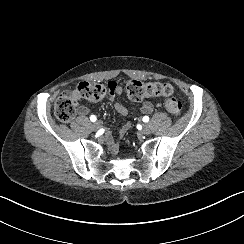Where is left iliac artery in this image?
Wrapping results in <instances>:
<instances>
[{
    "mask_svg": "<svg viewBox=\"0 0 244 244\" xmlns=\"http://www.w3.org/2000/svg\"><path fill=\"white\" fill-rule=\"evenodd\" d=\"M143 121H144V122H148V121H149V117H148V116H144V117H143Z\"/></svg>",
    "mask_w": 244,
    "mask_h": 244,
    "instance_id": "1",
    "label": "left iliac artery"
}]
</instances>
